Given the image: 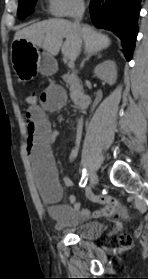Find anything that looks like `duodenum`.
I'll return each instance as SVG.
<instances>
[{
	"instance_id": "duodenum-1",
	"label": "duodenum",
	"mask_w": 148,
	"mask_h": 279,
	"mask_svg": "<svg viewBox=\"0 0 148 279\" xmlns=\"http://www.w3.org/2000/svg\"><path fill=\"white\" fill-rule=\"evenodd\" d=\"M91 102V97L89 94H82L76 102V105L79 109L86 108Z\"/></svg>"
}]
</instances>
